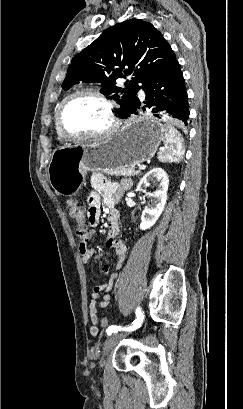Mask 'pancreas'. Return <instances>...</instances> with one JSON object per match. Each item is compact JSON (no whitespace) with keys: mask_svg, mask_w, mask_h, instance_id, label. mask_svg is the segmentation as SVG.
Returning a JSON list of instances; mask_svg holds the SVG:
<instances>
[{"mask_svg":"<svg viewBox=\"0 0 243 409\" xmlns=\"http://www.w3.org/2000/svg\"><path fill=\"white\" fill-rule=\"evenodd\" d=\"M106 173L110 174V175H115V176L129 177V176L139 175L140 170H136L134 167H127V168H122V169H119V170L108 171Z\"/></svg>","mask_w":243,"mask_h":409,"instance_id":"cf45deb5","label":"pancreas"}]
</instances>
